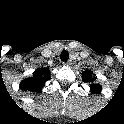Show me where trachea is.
<instances>
[{"mask_svg": "<svg viewBox=\"0 0 124 124\" xmlns=\"http://www.w3.org/2000/svg\"><path fill=\"white\" fill-rule=\"evenodd\" d=\"M60 59H61V61H63V62H67L68 59H69V53H68V51L63 50V51L61 52Z\"/></svg>", "mask_w": 124, "mask_h": 124, "instance_id": "3493384b", "label": "trachea"}]
</instances>
